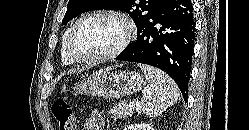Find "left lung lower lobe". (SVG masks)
<instances>
[{"label":"left lung lower lobe","instance_id":"0a47b994","mask_svg":"<svg viewBox=\"0 0 249 130\" xmlns=\"http://www.w3.org/2000/svg\"><path fill=\"white\" fill-rule=\"evenodd\" d=\"M190 0H162L142 23L136 42L116 57L157 67L177 83L185 102L195 39Z\"/></svg>","mask_w":249,"mask_h":130}]
</instances>
